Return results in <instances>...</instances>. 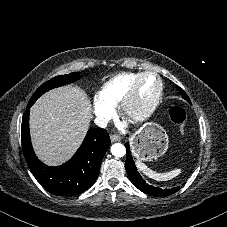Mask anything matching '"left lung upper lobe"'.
I'll list each match as a JSON object with an SVG mask.
<instances>
[{"mask_svg": "<svg viewBox=\"0 0 227 227\" xmlns=\"http://www.w3.org/2000/svg\"><path fill=\"white\" fill-rule=\"evenodd\" d=\"M179 90H180V93L182 94L183 98L185 100H187L188 102H190L189 97L187 96V94L182 89H179Z\"/></svg>", "mask_w": 227, "mask_h": 227, "instance_id": "1", "label": "left lung upper lobe"}]
</instances>
